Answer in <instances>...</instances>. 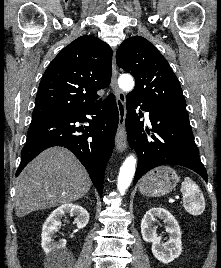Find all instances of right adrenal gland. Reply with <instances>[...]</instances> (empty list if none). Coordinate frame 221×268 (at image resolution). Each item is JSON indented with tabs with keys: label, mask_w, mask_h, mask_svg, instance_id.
<instances>
[{
	"label": "right adrenal gland",
	"mask_w": 221,
	"mask_h": 268,
	"mask_svg": "<svg viewBox=\"0 0 221 268\" xmlns=\"http://www.w3.org/2000/svg\"><path fill=\"white\" fill-rule=\"evenodd\" d=\"M84 198H87V199H88L89 197H88V195H87V196H84Z\"/></svg>",
	"instance_id": "2a0ac1e0"
}]
</instances>
